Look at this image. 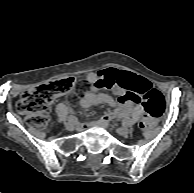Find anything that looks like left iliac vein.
Returning a JSON list of instances; mask_svg holds the SVG:
<instances>
[{
  "label": "left iliac vein",
  "mask_w": 194,
  "mask_h": 193,
  "mask_svg": "<svg viewBox=\"0 0 194 193\" xmlns=\"http://www.w3.org/2000/svg\"><path fill=\"white\" fill-rule=\"evenodd\" d=\"M116 132L121 135V136H126L128 135L130 132H131V129L123 126V127H120L116 130Z\"/></svg>",
  "instance_id": "left-iliac-vein-1"
}]
</instances>
